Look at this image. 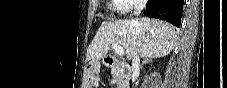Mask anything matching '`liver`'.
Here are the masks:
<instances>
[{"label":"liver","mask_w":227,"mask_h":88,"mask_svg":"<svg viewBox=\"0 0 227 88\" xmlns=\"http://www.w3.org/2000/svg\"><path fill=\"white\" fill-rule=\"evenodd\" d=\"M178 32L171 24L148 17L103 22L88 47L87 60L98 62L113 43L123 47L127 59H132L136 47L141 57L161 58L177 44Z\"/></svg>","instance_id":"6515ba94"}]
</instances>
